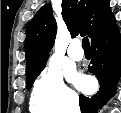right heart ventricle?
<instances>
[{"mask_svg": "<svg viewBox=\"0 0 121 113\" xmlns=\"http://www.w3.org/2000/svg\"><path fill=\"white\" fill-rule=\"evenodd\" d=\"M31 109L34 113H46V110L35 100H31Z\"/></svg>", "mask_w": 121, "mask_h": 113, "instance_id": "1", "label": "right heart ventricle"}]
</instances>
